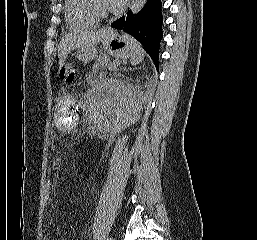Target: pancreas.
Here are the masks:
<instances>
[{"label": "pancreas", "mask_w": 257, "mask_h": 240, "mask_svg": "<svg viewBox=\"0 0 257 240\" xmlns=\"http://www.w3.org/2000/svg\"><path fill=\"white\" fill-rule=\"evenodd\" d=\"M114 69H115L114 64H112V62L107 56H99L93 66V72L99 71V70L107 71V70H114Z\"/></svg>", "instance_id": "1"}]
</instances>
